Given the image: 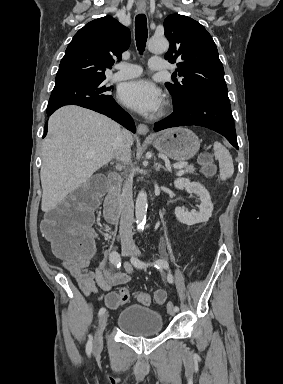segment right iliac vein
I'll list each match as a JSON object with an SVG mask.
<instances>
[{
  "label": "right iliac vein",
  "mask_w": 283,
  "mask_h": 384,
  "mask_svg": "<svg viewBox=\"0 0 283 384\" xmlns=\"http://www.w3.org/2000/svg\"><path fill=\"white\" fill-rule=\"evenodd\" d=\"M130 253H131L130 247H127V246L122 247V255L124 257L129 256ZM108 316H109L108 313L105 312L104 314L101 315L99 319L97 331L93 341V352L95 355L99 354L102 351V348H103L102 334L106 327Z\"/></svg>",
  "instance_id": "1"
}]
</instances>
